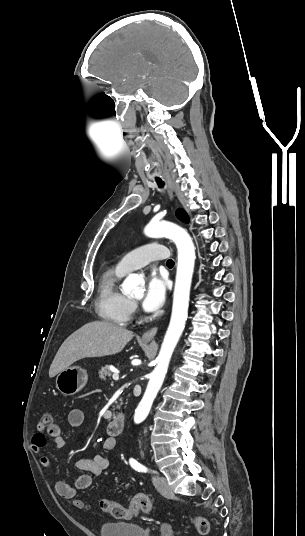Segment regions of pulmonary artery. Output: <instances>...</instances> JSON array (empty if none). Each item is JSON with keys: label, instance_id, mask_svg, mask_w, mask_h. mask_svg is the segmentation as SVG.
Here are the masks:
<instances>
[{"label": "pulmonary artery", "instance_id": "pulmonary-artery-1", "mask_svg": "<svg viewBox=\"0 0 305 536\" xmlns=\"http://www.w3.org/2000/svg\"><path fill=\"white\" fill-rule=\"evenodd\" d=\"M171 257L172 254L168 251L166 245L159 244L158 241L153 240L150 244H146L128 252L118 261L116 268L123 273H128L141 268L152 261H165L171 259Z\"/></svg>", "mask_w": 305, "mask_h": 536}]
</instances>
